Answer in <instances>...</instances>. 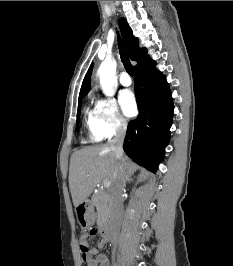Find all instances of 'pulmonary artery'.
<instances>
[{"label": "pulmonary artery", "instance_id": "obj_1", "mask_svg": "<svg viewBox=\"0 0 233 266\" xmlns=\"http://www.w3.org/2000/svg\"><path fill=\"white\" fill-rule=\"evenodd\" d=\"M119 82L123 86H130L132 84V80L130 76L126 72H122L120 77H119Z\"/></svg>", "mask_w": 233, "mask_h": 266}]
</instances>
